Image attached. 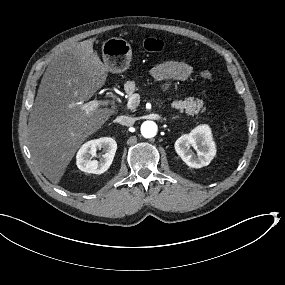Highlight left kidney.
I'll return each instance as SVG.
<instances>
[{
  "label": "left kidney",
  "instance_id": "obj_1",
  "mask_svg": "<svg viewBox=\"0 0 285 285\" xmlns=\"http://www.w3.org/2000/svg\"><path fill=\"white\" fill-rule=\"evenodd\" d=\"M194 147L197 156L190 150ZM175 150L181 159L192 168H201L210 164L216 155L211 128L207 124L195 127L189 134H184L175 142Z\"/></svg>",
  "mask_w": 285,
  "mask_h": 285
}]
</instances>
